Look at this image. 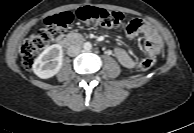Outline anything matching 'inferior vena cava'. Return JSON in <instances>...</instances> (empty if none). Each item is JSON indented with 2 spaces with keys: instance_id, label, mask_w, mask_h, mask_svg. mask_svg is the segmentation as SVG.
<instances>
[{
  "instance_id": "602c4592",
  "label": "inferior vena cava",
  "mask_w": 194,
  "mask_h": 133,
  "mask_svg": "<svg viewBox=\"0 0 194 133\" xmlns=\"http://www.w3.org/2000/svg\"><path fill=\"white\" fill-rule=\"evenodd\" d=\"M81 52L80 46L77 45H71L68 47L67 54L71 57L77 56Z\"/></svg>"
}]
</instances>
